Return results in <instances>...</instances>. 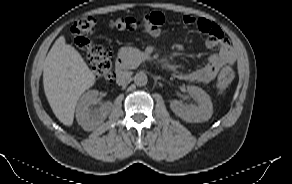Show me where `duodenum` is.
<instances>
[{"instance_id":"1","label":"duodenum","mask_w":292,"mask_h":184,"mask_svg":"<svg viewBox=\"0 0 292 184\" xmlns=\"http://www.w3.org/2000/svg\"><path fill=\"white\" fill-rule=\"evenodd\" d=\"M115 67L118 76H122L124 73V63L120 57H117L115 60Z\"/></svg>"}]
</instances>
